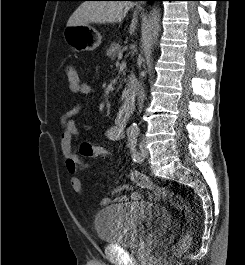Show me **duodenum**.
I'll use <instances>...</instances> for the list:
<instances>
[{
    "label": "duodenum",
    "instance_id": "410a0bca",
    "mask_svg": "<svg viewBox=\"0 0 245 265\" xmlns=\"http://www.w3.org/2000/svg\"><path fill=\"white\" fill-rule=\"evenodd\" d=\"M127 86L123 90V98L127 105H133L136 101L139 86L134 75H129Z\"/></svg>",
    "mask_w": 245,
    "mask_h": 265
}]
</instances>
